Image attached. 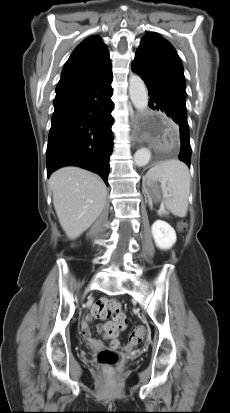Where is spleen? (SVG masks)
I'll list each match as a JSON object with an SVG mask.
<instances>
[{
  "mask_svg": "<svg viewBox=\"0 0 230 413\" xmlns=\"http://www.w3.org/2000/svg\"><path fill=\"white\" fill-rule=\"evenodd\" d=\"M146 178L161 183L167 210L177 217L187 215L190 172L186 164L176 159L161 162L147 172Z\"/></svg>",
  "mask_w": 230,
  "mask_h": 413,
  "instance_id": "1",
  "label": "spleen"
}]
</instances>
